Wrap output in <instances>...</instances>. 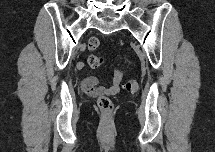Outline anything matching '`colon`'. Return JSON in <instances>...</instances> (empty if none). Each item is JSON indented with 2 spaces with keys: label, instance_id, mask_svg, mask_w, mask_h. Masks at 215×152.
<instances>
[{
  "label": "colon",
  "instance_id": "1",
  "mask_svg": "<svg viewBox=\"0 0 215 152\" xmlns=\"http://www.w3.org/2000/svg\"><path fill=\"white\" fill-rule=\"evenodd\" d=\"M98 47L99 40L95 37L90 38L88 41V49L94 51ZM87 62L91 68H98L103 64V58L96 55H90L87 59ZM138 88V83L133 79L126 81V83L124 84V89L128 93H135L138 91ZM98 106L102 111L109 112L113 108V103L110 98L102 96L98 99Z\"/></svg>",
  "mask_w": 215,
  "mask_h": 152
}]
</instances>
